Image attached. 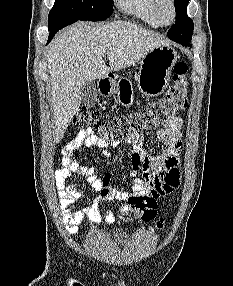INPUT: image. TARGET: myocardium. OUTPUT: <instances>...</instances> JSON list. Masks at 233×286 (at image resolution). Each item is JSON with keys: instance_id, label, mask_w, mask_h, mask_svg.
<instances>
[{"instance_id": "obj_1", "label": "myocardium", "mask_w": 233, "mask_h": 286, "mask_svg": "<svg viewBox=\"0 0 233 286\" xmlns=\"http://www.w3.org/2000/svg\"><path fill=\"white\" fill-rule=\"evenodd\" d=\"M153 1V13L160 25L162 26H169L173 24L177 17V9L174 0H152ZM163 4L169 5L171 9V18L169 21H164L160 14V9Z\"/></svg>"}]
</instances>
